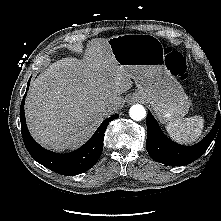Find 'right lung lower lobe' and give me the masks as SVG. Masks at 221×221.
<instances>
[{
	"label": "right lung lower lobe",
	"mask_w": 221,
	"mask_h": 221,
	"mask_svg": "<svg viewBox=\"0 0 221 221\" xmlns=\"http://www.w3.org/2000/svg\"><path fill=\"white\" fill-rule=\"evenodd\" d=\"M30 80L27 84L29 88ZM25 97V95H24ZM115 114L105 119L94 135L79 149L66 154H58L41 147L30 135L24 113V99L20 108L21 133L25 147L30 155L46 168L66 176L81 174L93 167L99 159L103 150L104 133L110 121L118 118Z\"/></svg>",
	"instance_id": "obj_1"
}]
</instances>
